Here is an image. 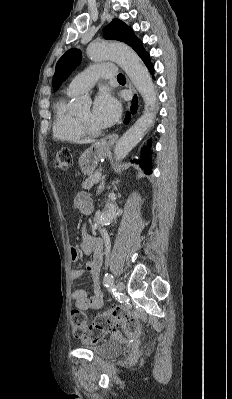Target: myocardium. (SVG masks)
<instances>
[{"label": "myocardium", "instance_id": "f54148a6", "mask_svg": "<svg viewBox=\"0 0 232 399\" xmlns=\"http://www.w3.org/2000/svg\"><path fill=\"white\" fill-rule=\"evenodd\" d=\"M76 123L78 128L80 129V131L84 134L85 137L88 138H98L101 137L102 135H104L106 133V130H94L93 128H91L88 123L83 120L81 117L76 116Z\"/></svg>", "mask_w": 232, "mask_h": 399}]
</instances>
